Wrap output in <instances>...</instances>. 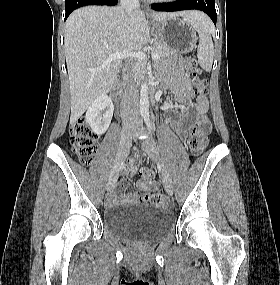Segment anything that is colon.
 I'll use <instances>...</instances> for the list:
<instances>
[{
  "mask_svg": "<svg viewBox=\"0 0 280 285\" xmlns=\"http://www.w3.org/2000/svg\"><path fill=\"white\" fill-rule=\"evenodd\" d=\"M186 70L192 77L195 89L198 93H204L206 90V80L202 76L197 67L195 58L188 57L185 59ZM210 125L197 124L193 126L189 133L188 146L191 152L201 153L208 144V133ZM70 142L74 152L78 155L80 161L84 165H90L93 155L97 149V135L83 122L78 121L70 128ZM141 177L145 184L149 185L153 182V173L148 169L141 171ZM152 201L156 204H165L168 198L164 194H157L152 197Z\"/></svg>",
  "mask_w": 280,
  "mask_h": 285,
  "instance_id": "obj_1",
  "label": "colon"
}]
</instances>
